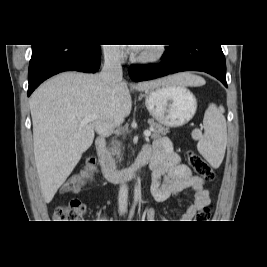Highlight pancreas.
I'll use <instances>...</instances> for the list:
<instances>
[{
	"instance_id": "1",
	"label": "pancreas",
	"mask_w": 267,
	"mask_h": 267,
	"mask_svg": "<svg viewBox=\"0 0 267 267\" xmlns=\"http://www.w3.org/2000/svg\"><path fill=\"white\" fill-rule=\"evenodd\" d=\"M150 128L152 129V138H158L162 135H166L169 132V128L168 127H164L161 124L154 122L153 120H149L148 121ZM111 152H107L106 153V158H107V162L112 166V167H116L115 164V159L112 157Z\"/></svg>"
}]
</instances>
